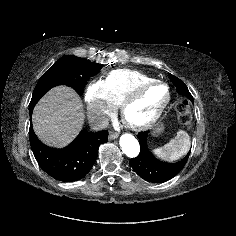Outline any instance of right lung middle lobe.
Masks as SVG:
<instances>
[{"label":"right lung middle lobe","mask_w":236,"mask_h":236,"mask_svg":"<svg viewBox=\"0 0 236 236\" xmlns=\"http://www.w3.org/2000/svg\"><path fill=\"white\" fill-rule=\"evenodd\" d=\"M101 68V64L76 56L61 57L39 79L29 107L35 106L47 91L58 85L72 87L78 94L82 95L88 79L97 74Z\"/></svg>","instance_id":"obj_1"}]
</instances>
